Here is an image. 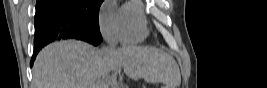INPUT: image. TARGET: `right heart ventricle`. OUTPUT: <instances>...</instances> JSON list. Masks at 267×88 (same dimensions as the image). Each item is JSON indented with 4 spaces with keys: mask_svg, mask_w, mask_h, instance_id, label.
Instances as JSON below:
<instances>
[{
    "mask_svg": "<svg viewBox=\"0 0 267 88\" xmlns=\"http://www.w3.org/2000/svg\"><path fill=\"white\" fill-rule=\"evenodd\" d=\"M121 41L124 45L137 44L147 37L149 28L140 1H129L121 9Z\"/></svg>",
    "mask_w": 267,
    "mask_h": 88,
    "instance_id": "obj_1",
    "label": "right heart ventricle"
}]
</instances>
